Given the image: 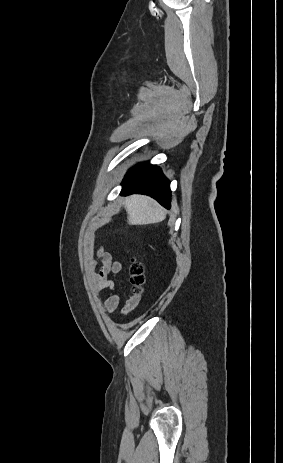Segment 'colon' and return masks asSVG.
<instances>
[{
  "label": "colon",
  "instance_id": "1",
  "mask_svg": "<svg viewBox=\"0 0 283 463\" xmlns=\"http://www.w3.org/2000/svg\"><path fill=\"white\" fill-rule=\"evenodd\" d=\"M129 272L131 294L134 297H138L143 292V286L145 283L144 267L140 262L133 260L130 264Z\"/></svg>",
  "mask_w": 283,
  "mask_h": 463
}]
</instances>
